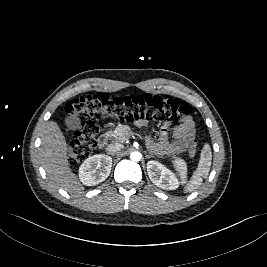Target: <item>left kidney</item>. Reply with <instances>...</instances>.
Wrapping results in <instances>:
<instances>
[{
	"label": "left kidney",
	"instance_id": "1",
	"mask_svg": "<svg viewBox=\"0 0 267 267\" xmlns=\"http://www.w3.org/2000/svg\"><path fill=\"white\" fill-rule=\"evenodd\" d=\"M147 173L152 183L163 190H174L179 186L176 175L158 161L147 162Z\"/></svg>",
	"mask_w": 267,
	"mask_h": 267
}]
</instances>
